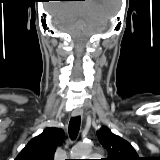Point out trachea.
Listing matches in <instances>:
<instances>
[{
  "label": "trachea",
  "mask_w": 160,
  "mask_h": 160,
  "mask_svg": "<svg viewBox=\"0 0 160 160\" xmlns=\"http://www.w3.org/2000/svg\"><path fill=\"white\" fill-rule=\"evenodd\" d=\"M81 118L73 117L69 122V135L71 139H75L80 129Z\"/></svg>",
  "instance_id": "3493384b"
}]
</instances>
